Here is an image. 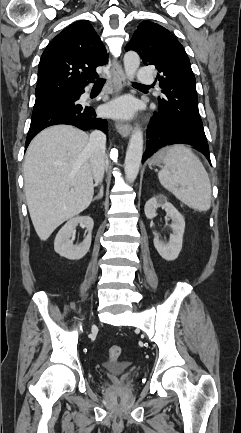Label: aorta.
<instances>
[{
    "mask_svg": "<svg viewBox=\"0 0 241 433\" xmlns=\"http://www.w3.org/2000/svg\"><path fill=\"white\" fill-rule=\"evenodd\" d=\"M140 65V57L136 52L130 51L124 55L125 74L129 80H133ZM143 154V132L136 127L129 140L126 151L124 170L129 183H133L139 173Z\"/></svg>",
    "mask_w": 241,
    "mask_h": 433,
    "instance_id": "762f6f07",
    "label": "aorta"
}]
</instances>
